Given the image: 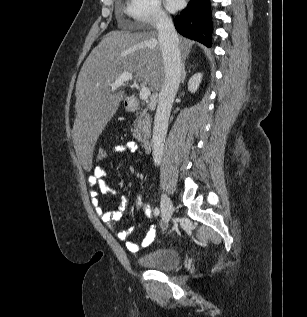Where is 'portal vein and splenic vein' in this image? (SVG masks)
<instances>
[{"instance_id":"obj_1","label":"portal vein and splenic vein","mask_w":307,"mask_h":317,"mask_svg":"<svg viewBox=\"0 0 307 317\" xmlns=\"http://www.w3.org/2000/svg\"><path fill=\"white\" fill-rule=\"evenodd\" d=\"M133 78H134V77H133L132 73L123 72V73H121V74L117 77V79L115 80V82L111 84V88H112L113 90H115V89L121 87L125 82H128V81L133 80ZM150 94H151V92H150V90H149L148 87L143 86V87L140 89V94H139V96H140V99H141V100L146 101V100L149 98Z\"/></svg>"}]
</instances>
